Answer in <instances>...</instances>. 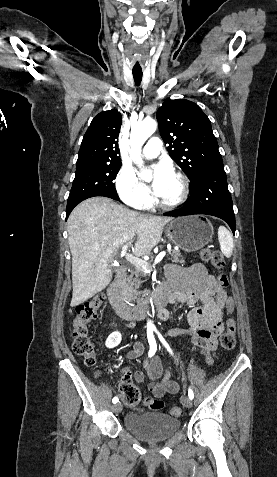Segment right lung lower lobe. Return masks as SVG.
Wrapping results in <instances>:
<instances>
[{"label": "right lung lower lobe", "instance_id": "right-lung-lower-lobe-1", "mask_svg": "<svg viewBox=\"0 0 277 477\" xmlns=\"http://www.w3.org/2000/svg\"><path fill=\"white\" fill-rule=\"evenodd\" d=\"M115 200H119V198L115 199ZM70 212H66V218L69 216Z\"/></svg>", "mask_w": 277, "mask_h": 477}]
</instances>
